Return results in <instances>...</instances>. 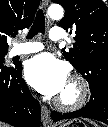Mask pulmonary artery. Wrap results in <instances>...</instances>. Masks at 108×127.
<instances>
[{
	"label": "pulmonary artery",
	"mask_w": 108,
	"mask_h": 127,
	"mask_svg": "<svg viewBox=\"0 0 108 127\" xmlns=\"http://www.w3.org/2000/svg\"><path fill=\"white\" fill-rule=\"evenodd\" d=\"M49 38L53 41H58L63 38V31L61 28H52L50 30ZM43 44L40 42H25L20 45H16L10 51L12 56L26 55L43 50Z\"/></svg>",
	"instance_id": "obj_1"
}]
</instances>
